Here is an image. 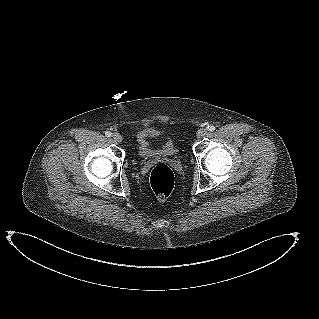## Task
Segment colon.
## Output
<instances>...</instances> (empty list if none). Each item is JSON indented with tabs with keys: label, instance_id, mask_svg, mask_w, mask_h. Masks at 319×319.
Segmentation results:
<instances>
[{
	"label": "colon",
	"instance_id": "colon-1",
	"mask_svg": "<svg viewBox=\"0 0 319 319\" xmlns=\"http://www.w3.org/2000/svg\"><path fill=\"white\" fill-rule=\"evenodd\" d=\"M175 183L172 169L165 164L156 165L150 173V185L155 195L166 199L171 194Z\"/></svg>",
	"mask_w": 319,
	"mask_h": 319
}]
</instances>
